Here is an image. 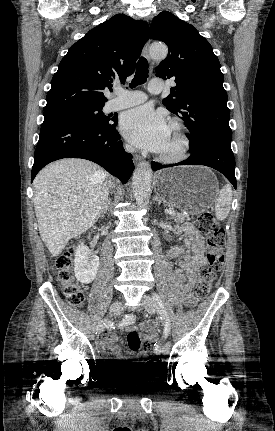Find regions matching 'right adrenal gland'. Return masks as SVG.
I'll return each mask as SVG.
<instances>
[{"label":"right adrenal gland","mask_w":275,"mask_h":431,"mask_svg":"<svg viewBox=\"0 0 275 431\" xmlns=\"http://www.w3.org/2000/svg\"><path fill=\"white\" fill-rule=\"evenodd\" d=\"M110 203H111V199L108 198L107 201H106V203H105V205H104V207H103V210L101 212V217H103L104 214L106 213V211L108 210V208L110 206Z\"/></svg>","instance_id":"right-adrenal-gland-1"}]
</instances>
